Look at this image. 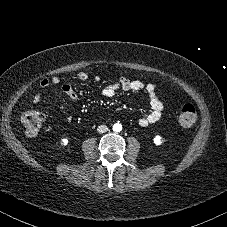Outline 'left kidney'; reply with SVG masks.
<instances>
[{
    "label": "left kidney",
    "instance_id": "5707ae66",
    "mask_svg": "<svg viewBox=\"0 0 227 227\" xmlns=\"http://www.w3.org/2000/svg\"><path fill=\"white\" fill-rule=\"evenodd\" d=\"M153 142L156 144V145H161L163 143V139L161 136L159 135H156L154 138H153Z\"/></svg>",
    "mask_w": 227,
    "mask_h": 227
}]
</instances>
